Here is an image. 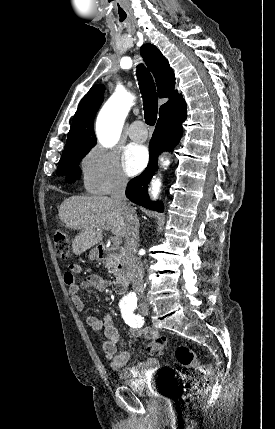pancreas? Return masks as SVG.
Wrapping results in <instances>:
<instances>
[{
  "label": "pancreas",
  "instance_id": "pancreas-1",
  "mask_svg": "<svg viewBox=\"0 0 275 429\" xmlns=\"http://www.w3.org/2000/svg\"><path fill=\"white\" fill-rule=\"evenodd\" d=\"M117 256H113L111 259H109L107 261V267L110 268V273H112L114 276L118 275V270H117Z\"/></svg>",
  "mask_w": 275,
  "mask_h": 429
}]
</instances>
